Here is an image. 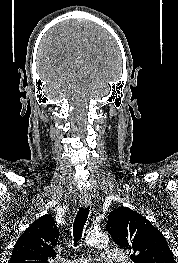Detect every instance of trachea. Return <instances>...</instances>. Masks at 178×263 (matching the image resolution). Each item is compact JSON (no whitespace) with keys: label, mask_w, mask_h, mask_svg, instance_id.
I'll return each instance as SVG.
<instances>
[{"label":"trachea","mask_w":178,"mask_h":263,"mask_svg":"<svg viewBox=\"0 0 178 263\" xmlns=\"http://www.w3.org/2000/svg\"><path fill=\"white\" fill-rule=\"evenodd\" d=\"M90 207L79 208L73 224L74 245H78L82 237L84 225L86 224Z\"/></svg>","instance_id":"obj_1"}]
</instances>
